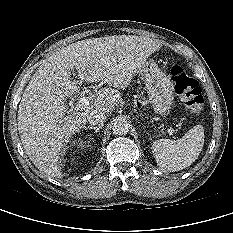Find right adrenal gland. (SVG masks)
<instances>
[{
    "instance_id": "2a0ac1e0",
    "label": "right adrenal gland",
    "mask_w": 233,
    "mask_h": 233,
    "mask_svg": "<svg viewBox=\"0 0 233 233\" xmlns=\"http://www.w3.org/2000/svg\"><path fill=\"white\" fill-rule=\"evenodd\" d=\"M101 128H102L101 125L95 126V127L94 126H87V127H85V130L90 129V130H94L97 133Z\"/></svg>"
}]
</instances>
